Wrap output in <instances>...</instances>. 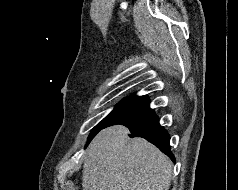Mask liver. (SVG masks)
I'll return each instance as SVG.
<instances>
[{"mask_svg":"<svg viewBox=\"0 0 238 190\" xmlns=\"http://www.w3.org/2000/svg\"><path fill=\"white\" fill-rule=\"evenodd\" d=\"M128 134L115 125L92 140L84 158L83 190H169L172 162L145 139Z\"/></svg>","mask_w":238,"mask_h":190,"instance_id":"liver-1","label":"liver"}]
</instances>
